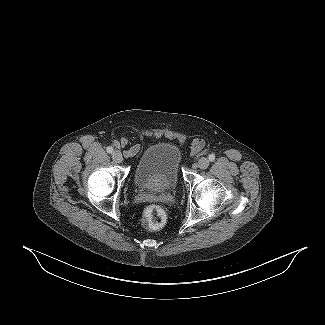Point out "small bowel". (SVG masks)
I'll return each mask as SVG.
<instances>
[{
	"instance_id": "1",
	"label": "small bowel",
	"mask_w": 325,
	"mask_h": 325,
	"mask_svg": "<svg viewBox=\"0 0 325 325\" xmlns=\"http://www.w3.org/2000/svg\"><path fill=\"white\" fill-rule=\"evenodd\" d=\"M118 145L124 148L126 146V141L124 139H121L118 141ZM136 150H137L136 147H131L126 151V155L131 156L136 153Z\"/></svg>"
}]
</instances>
